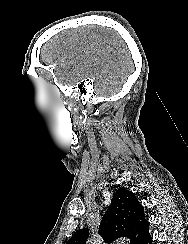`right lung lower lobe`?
<instances>
[{
    "label": "right lung lower lobe",
    "instance_id": "obj_1",
    "mask_svg": "<svg viewBox=\"0 0 188 244\" xmlns=\"http://www.w3.org/2000/svg\"><path fill=\"white\" fill-rule=\"evenodd\" d=\"M137 244H152V238L150 236L149 230L143 235V237L137 242Z\"/></svg>",
    "mask_w": 188,
    "mask_h": 244
}]
</instances>
